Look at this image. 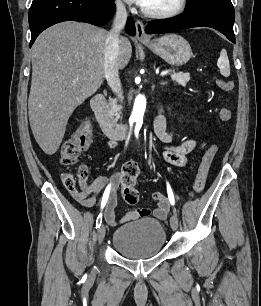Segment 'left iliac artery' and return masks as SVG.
I'll use <instances>...</instances> for the list:
<instances>
[{
    "instance_id": "1",
    "label": "left iliac artery",
    "mask_w": 261,
    "mask_h": 306,
    "mask_svg": "<svg viewBox=\"0 0 261 306\" xmlns=\"http://www.w3.org/2000/svg\"><path fill=\"white\" fill-rule=\"evenodd\" d=\"M167 192H168V198H169L171 205H174L175 204L174 195H173V192H172V189L169 183H167Z\"/></svg>"
}]
</instances>
